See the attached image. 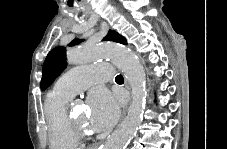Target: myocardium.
I'll use <instances>...</instances> for the list:
<instances>
[{"label": "myocardium", "instance_id": "f54148a6", "mask_svg": "<svg viewBox=\"0 0 227 149\" xmlns=\"http://www.w3.org/2000/svg\"><path fill=\"white\" fill-rule=\"evenodd\" d=\"M66 120L70 131L77 137H84L89 135L83 125L75 121L72 116L66 115Z\"/></svg>", "mask_w": 227, "mask_h": 149}]
</instances>
